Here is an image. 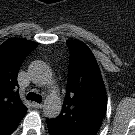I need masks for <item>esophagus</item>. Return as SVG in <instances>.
<instances>
[{
    "instance_id": "obj_1",
    "label": "esophagus",
    "mask_w": 135,
    "mask_h": 135,
    "mask_svg": "<svg viewBox=\"0 0 135 135\" xmlns=\"http://www.w3.org/2000/svg\"><path fill=\"white\" fill-rule=\"evenodd\" d=\"M32 106L34 107V108H42V104H40V103H36V102H32Z\"/></svg>"
}]
</instances>
